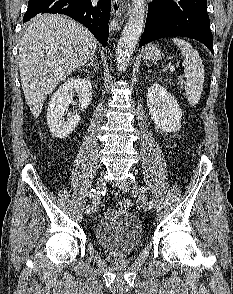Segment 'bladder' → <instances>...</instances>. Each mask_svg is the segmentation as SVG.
Returning <instances> with one entry per match:
<instances>
[{"mask_svg":"<svg viewBox=\"0 0 233 294\" xmlns=\"http://www.w3.org/2000/svg\"><path fill=\"white\" fill-rule=\"evenodd\" d=\"M94 235L103 250L125 255L139 247L143 232L138 218L132 212L115 208L104 212L95 227Z\"/></svg>","mask_w":233,"mask_h":294,"instance_id":"obj_1","label":"bladder"}]
</instances>
